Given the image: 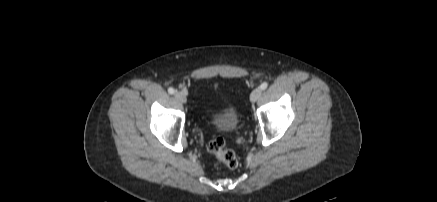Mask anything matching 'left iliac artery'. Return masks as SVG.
<instances>
[{"mask_svg": "<svg viewBox=\"0 0 437 202\" xmlns=\"http://www.w3.org/2000/svg\"><path fill=\"white\" fill-rule=\"evenodd\" d=\"M267 87H268V83H267V82H263V83L260 85L261 90H265Z\"/></svg>", "mask_w": 437, "mask_h": 202, "instance_id": "left-iliac-artery-1", "label": "left iliac artery"}]
</instances>
